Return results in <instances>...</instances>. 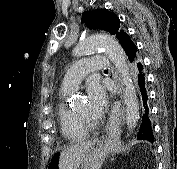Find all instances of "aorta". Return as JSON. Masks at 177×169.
Segmentation results:
<instances>
[{"label": "aorta", "instance_id": "obj_1", "mask_svg": "<svg viewBox=\"0 0 177 169\" xmlns=\"http://www.w3.org/2000/svg\"><path fill=\"white\" fill-rule=\"evenodd\" d=\"M103 48L105 54L114 63L124 85L123 102L125 106V121L129 131L137 126L139 119L138 100L135 87L130 77L126 55L119 43L112 37L105 35H91L83 39L75 48V56L91 54Z\"/></svg>", "mask_w": 177, "mask_h": 169}]
</instances>
